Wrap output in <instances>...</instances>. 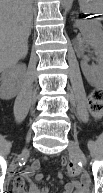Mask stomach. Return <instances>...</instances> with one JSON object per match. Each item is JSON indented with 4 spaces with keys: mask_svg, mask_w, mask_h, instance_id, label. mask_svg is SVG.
I'll return each mask as SVG.
<instances>
[{
    "mask_svg": "<svg viewBox=\"0 0 103 193\" xmlns=\"http://www.w3.org/2000/svg\"><path fill=\"white\" fill-rule=\"evenodd\" d=\"M103 0H79L80 10L86 13H98L102 10Z\"/></svg>",
    "mask_w": 103,
    "mask_h": 193,
    "instance_id": "1",
    "label": "stomach"
}]
</instances>
